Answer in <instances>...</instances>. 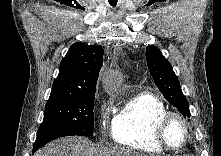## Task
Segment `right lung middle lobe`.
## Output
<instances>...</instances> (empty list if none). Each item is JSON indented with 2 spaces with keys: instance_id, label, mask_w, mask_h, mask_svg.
Returning a JSON list of instances; mask_svg holds the SVG:
<instances>
[{
  "instance_id": "right-lung-middle-lobe-1",
  "label": "right lung middle lobe",
  "mask_w": 221,
  "mask_h": 156,
  "mask_svg": "<svg viewBox=\"0 0 221 156\" xmlns=\"http://www.w3.org/2000/svg\"><path fill=\"white\" fill-rule=\"evenodd\" d=\"M95 93L61 100H48L33 152L63 136H91L94 128Z\"/></svg>"
}]
</instances>
